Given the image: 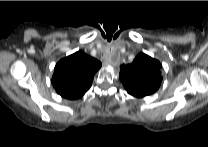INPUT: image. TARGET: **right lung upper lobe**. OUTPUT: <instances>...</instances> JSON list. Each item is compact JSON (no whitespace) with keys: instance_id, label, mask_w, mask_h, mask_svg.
Masks as SVG:
<instances>
[{"instance_id":"obj_1","label":"right lung upper lobe","mask_w":208,"mask_h":147,"mask_svg":"<svg viewBox=\"0 0 208 147\" xmlns=\"http://www.w3.org/2000/svg\"><path fill=\"white\" fill-rule=\"evenodd\" d=\"M101 62L78 51L61 59L54 68L52 84L59 95L78 99L90 88Z\"/></svg>"}]
</instances>
